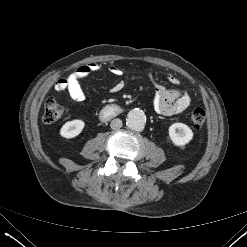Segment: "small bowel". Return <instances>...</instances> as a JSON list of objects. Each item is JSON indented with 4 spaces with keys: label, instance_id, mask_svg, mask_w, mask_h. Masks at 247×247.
<instances>
[{
    "label": "small bowel",
    "instance_id": "small-bowel-1",
    "mask_svg": "<svg viewBox=\"0 0 247 247\" xmlns=\"http://www.w3.org/2000/svg\"><path fill=\"white\" fill-rule=\"evenodd\" d=\"M100 65L92 62L80 66L72 72L67 78L59 80L55 85V92L62 94L67 92L70 98L76 102L85 100V94L81 88L80 81L88 75L100 70ZM109 71L115 76H121L122 70L115 65L109 67ZM149 76L153 79V74ZM168 80L171 84L177 85L178 80L173 74L168 75ZM125 86L123 80L117 81L111 87L112 93L120 92ZM191 103V98L188 93L178 89H168L161 83L156 82L153 97V106L157 113L165 116L179 114L186 110Z\"/></svg>",
    "mask_w": 247,
    "mask_h": 247
}]
</instances>
